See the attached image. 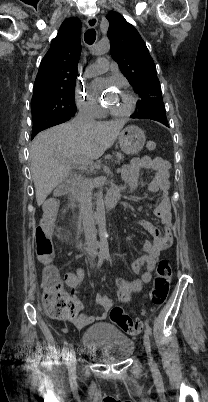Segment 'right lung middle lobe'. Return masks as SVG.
Wrapping results in <instances>:
<instances>
[{"instance_id":"obj_1","label":"right lung middle lobe","mask_w":208,"mask_h":402,"mask_svg":"<svg viewBox=\"0 0 208 402\" xmlns=\"http://www.w3.org/2000/svg\"><path fill=\"white\" fill-rule=\"evenodd\" d=\"M74 92L75 81L38 90L31 100L33 119L41 116L73 117L77 111Z\"/></svg>"}]
</instances>
